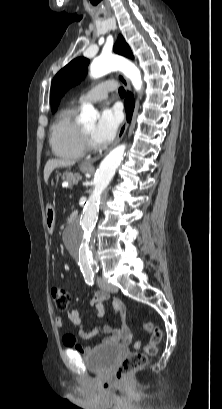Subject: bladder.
<instances>
[{
    "label": "bladder",
    "instance_id": "obj_1",
    "mask_svg": "<svg viewBox=\"0 0 222 409\" xmlns=\"http://www.w3.org/2000/svg\"><path fill=\"white\" fill-rule=\"evenodd\" d=\"M121 354L117 344L98 345L85 355L84 362L91 371L106 375L111 372Z\"/></svg>",
    "mask_w": 222,
    "mask_h": 409
}]
</instances>
